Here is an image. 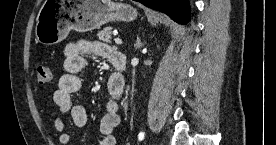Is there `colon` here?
Wrapping results in <instances>:
<instances>
[{"instance_id":"5ec220e1","label":"colon","mask_w":276,"mask_h":145,"mask_svg":"<svg viewBox=\"0 0 276 145\" xmlns=\"http://www.w3.org/2000/svg\"><path fill=\"white\" fill-rule=\"evenodd\" d=\"M52 73L47 65L40 64L35 69V82L38 85H47L51 81Z\"/></svg>"}]
</instances>
